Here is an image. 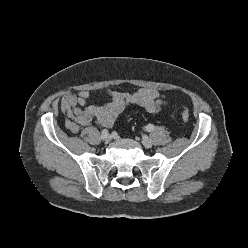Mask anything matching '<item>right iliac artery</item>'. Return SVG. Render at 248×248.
Masks as SVG:
<instances>
[{
    "label": "right iliac artery",
    "mask_w": 248,
    "mask_h": 248,
    "mask_svg": "<svg viewBox=\"0 0 248 248\" xmlns=\"http://www.w3.org/2000/svg\"><path fill=\"white\" fill-rule=\"evenodd\" d=\"M108 135V130L104 129L101 133V138L104 139Z\"/></svg>",
    "instance_id": "right-iliac-artery-1"
}]
</instances>
